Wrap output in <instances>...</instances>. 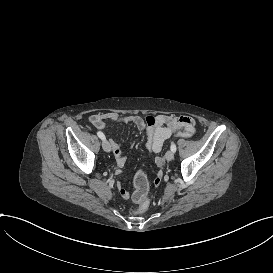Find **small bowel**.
I'll return each instance as SVG.
<instances>
[{
    "label": "small bowel",
    "instance_id": "small-bowel-1",
    "mask_svg": "<svg viewBox=\"0 0 273 273\" xmlns=\"http://www.w3.org/2000/svg\"><path fill=\"white\" fill-rule=\"evenodd\" d=\"M89 122L97 130H103L108 122H116L120 124H131L138 130L146 131V145L149 151L158 153L164 147L165 142L173 136L190 137L195 132V121L188 116L177 115H164L159 114L156 116V124L148 127L143 119L139 115H127L123 116L117 113H97L89 117ZM110 149L114 159L119 167H123L126 162V158L121 150V143L108 137ZM155 163L158 167L164 166V161L161 157L155 158ZM164 175L162 172H157L154 176V186L160 187L161 181ZM115 189L118 194L121 195L124 201H129L131 196L125 190L121 183L115 184Z\"/></svg>",
    "mask_w": 273,
    "mask_h": 273
}]
</instances>
